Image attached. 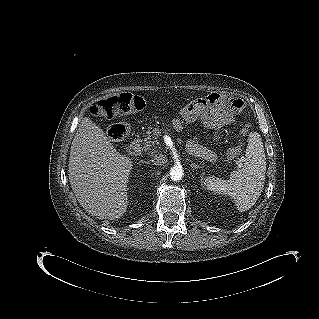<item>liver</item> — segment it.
<instances>
[{"label":"liver","mask_w":319,"mask_h":319,"mask_svg":"<svg viewBox=\"0 0 319 319\" xmlns=\"http://www.w3.org/2000/svg\"><path fill=\"white\" fill-rule=\"evenodd\" d=\"M132 167V160L113 147L99 126L89 117L82 119L71 144L68 173L84 210L99 219L122 217Z\"/></svg>","instance_id":"6515ba94"}]
</instances>
